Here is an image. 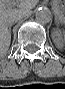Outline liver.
<instances>
[{
  "label": "liver",
  "instance_id": "obj_1",
  "mask_svg": "<svg viewBox=\"0 0 65 89\" xmlns=\"http://www.w3.org/2000/svg\"><path fill=\"white\" fill-rule=\"evenodd\" d=\"M37 4L36 0H1L0 1V54L3 56L11 43V20L20 14H28ZM17 6V8H14Z\"/></svg>",
  "mask_w": 65,
  "mask_h": 89
}]
</instances>
